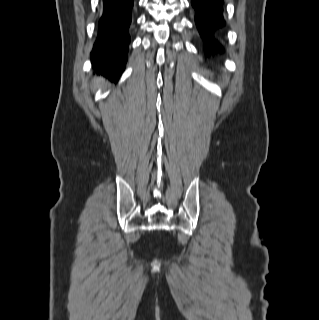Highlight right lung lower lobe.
<instances>
[{"instance_id":"right-lung-lower-lobe-1","label":"right lung lower lobe","mask_w":319,"mask_h":320,"mask_svg":"<svg viewBox=\"0 0 319 320\" xmlns=\"http://www.w3.org/2000/svg\"><path fill=\"white\" fill-rule=\"evenodd\" d=\"M134 0H103V12L99 21L98 37L91 52L94 68L117 81L125 68L128 29Z\"/></svg>"}]
</instances>
